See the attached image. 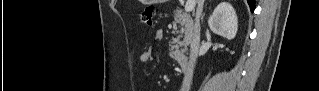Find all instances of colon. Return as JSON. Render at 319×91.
Instances as JSON below:
<instances>
[{
    "label": "colon",
    "mask_w": 319,
    "mask_h": 91,
    "mask_svg": "<svg viewBox=\"0 0 319 91\" xmlns=\"http://www.w3.org/2000/svg\"><path fill=\"white\" fill-rule=\"evenodd\" d=\"M155 13V7L154 6H147L141 13V22L145 24L148 27L153 26V15Z\"/></svg>",
    "instance_id": "colon-1"
}]
</instances>
